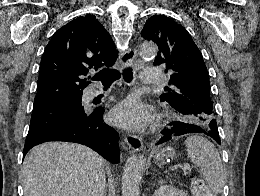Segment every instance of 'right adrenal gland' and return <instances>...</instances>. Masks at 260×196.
<instances>
[{
    "instance_id": "right-adrenal-gland-1",
    "label": "right adrenal gland",
    "mask_w": 260,
    "mask_h": 196,
    "mask_svg": "<svg viewBox=\"0 0 260 196\" xmlns=\"http://www.w3.org/2000/svg\"><path fill=\"white\" fill-rule=\"evenodd\" d=\"M103 196H106V190H105V192H104Z\"/></svg>"
}]
</instances>
